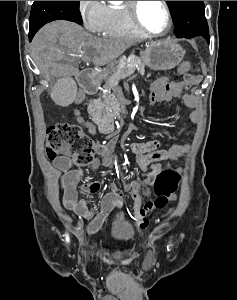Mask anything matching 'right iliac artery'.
<instances>
[{
    "label": "right iliac artery",
    "instance_id": "right-iliac-artery-1",
    "mask_svg": "<svg viewBox=\"0 0 237 300\" xmlns=\"http://www.w3.org/2000/svg\"><path fill=\"white\" fill-rule=\"evenodd\" d=\"M66 241L69 242V237H68V235H66Z\"/></svg>",
    "mask_w": 237,
    "mask_h": 300
}]
</instances>
